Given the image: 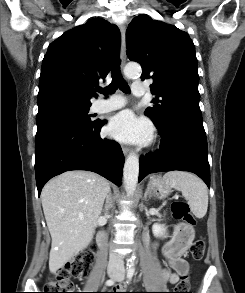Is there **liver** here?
Wrapping results in <instances>:
<instances>
[{
  "mask_svg": "<svg viewBox=\"0 0 245 293\" xmlns=\"http://www.w3.org/2000/svg\"><path fill=\"white\" fill-rule=\"evenodd\" d=\"M109 191L105 178L83 170L67 171L44 186L41 200L52 238V273L90 244Z\"/></svg>",
  "mask_w": 245,
  "mask_h": 293,
  "instance_id": "6515ba94",
  "label": "liver"
}]
</instances>
